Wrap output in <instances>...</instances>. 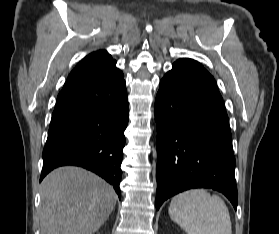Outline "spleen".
I'll return each instance as SVG.
<instances>
[{"mask_svg": "<svg viewBox=\"0 0 279 234\" xmlns=\"http://www.w3.org/2000/svg\"><path fill=\"white\" fill-rule=\"evenodd\" d=\"M170 218L187 234H232L225 202L204 189H194L173 197Z\"/></svg>", "mask_w": 279, "mask_h": 234, "instance_id": "1", "label": "spleen"}]
</instances>
